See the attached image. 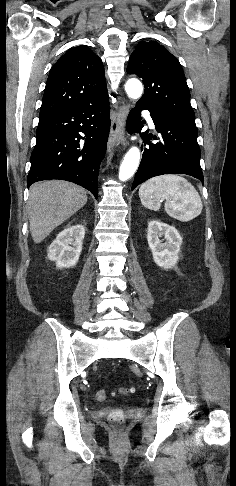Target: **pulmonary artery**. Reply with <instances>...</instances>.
I'll list each match as a JSON object with an SVG mask.
<instances>
[{
  "instance_id": "pulmonary-artery-1",
  "label": "pulmonary artery",
  "mask_w": 236,
  "mask_h": 486,
  "mask_svg": "<svg viewBox=\"0 0 236 486\" xmlns=\"http://www.w3.org/2000/svg\"><path fill=\"white\" fill-rule=\"evenodd\" d=\"M144 115H145V117H146V119H147V121H148L149 125H150L151 127H154V122H153V120H152V118H151V116H150L149 112L145 111V112H144Z\"/></svg>"
}]
</instances>
